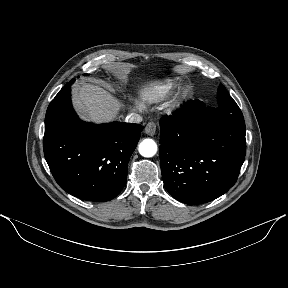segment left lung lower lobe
I'll return each mask as SVG.
<instances>
[{
  "mask_svg": "<svg viewBox=\"0 0 288 288\" xmlns=\"http://www.w3.org/2000/svg\"><path fill=\"white\" fill-rule=\"evenodd\" d=\"M163 182L176 200L202 204L226 193L245 159V128L220 120L193 100L160 120Z\"/></svg>",
  "mask_w": 288,
  "mask_h": 288,
  "instance_id": "1",
  "label": "left lung lower lobe"
}]
</instances>
